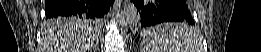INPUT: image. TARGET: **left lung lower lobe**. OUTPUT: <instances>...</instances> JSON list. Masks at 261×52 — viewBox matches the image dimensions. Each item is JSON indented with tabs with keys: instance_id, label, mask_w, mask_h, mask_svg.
I'll return each mask as SVG.
<instances>
[{
	"instance_id": "1",
	"label": "left lung lower lobe",
	"mask_w": 261,
	"mask_h": 52,
	"mask_svg": "<svg viewBox=\"0 0 261 52\" xmlns=\"http://www.w3.org/2000/svg\"><path fill=\"white\" fill-rule=\"evenodd\" d=\"M133 2L140 17L136 24L137 27H146L171 21L185 22L189 25L195 24L186 0H133ZM188 29L190 28L188 27ZM128 32H130V29ZM183 34L187 35V33H177V37L183 38ZM189 37L191 38L192 36L190 35Z\"/></svg>"
}]
</instances>
